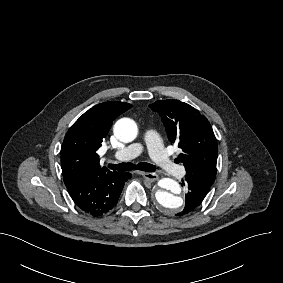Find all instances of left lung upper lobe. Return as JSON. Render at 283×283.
<instances>
[{
	"label": "left lung upper lobe",
	"instance_id": "left-lung-upper-lobe-1",
	"mask_svg": "<svg viewBox=\"0 0 283 283\" xmlns=\"http://www.w3.org/2000/svg\"><path fill=\"white\" fill-rule=\"evenodd\" d=\"M149 106L162 117L170 142L182 149L177 159L184 163L186 172L215 177L218 147L205 116L178 100H160Z\"/></svg>",
	"mask_w": 283,
	"mask_h": 283
}]
</instances>
